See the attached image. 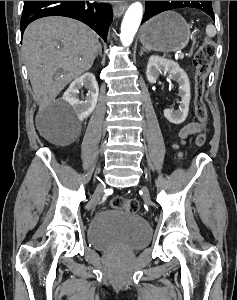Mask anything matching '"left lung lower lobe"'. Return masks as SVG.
I'll return each instance as SVG.
<instances>
[{"mask_svg":"<svg viewBox=\"0 0 237 300\" xmlns=\"http://www.w3.org/2000/svg\"><path fill=\"white\" fill-rule=\"evenodd\" d=\"M204 12L207 13L214 20V13H213L211 1H208L207 8H205Z\"/></svg>","mask_w":237,"mask_h":300,"instance_id":"left-lung-lower-lobe-1","label":"left lung lower lobe"}]
</instances>
